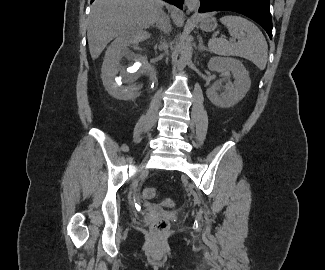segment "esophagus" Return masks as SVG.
Returning <instances> with one entry per match:
<instances>
[{"mask_svg":"<svg viewBox=\"0 0 325 270\" xmlns=\"http://www.w3.org/2000/svg\"><path fill=\"white\" fill-rule=\"evenodd\" d=\"M185 5L189 10H195L198 7L197 0H185Z\"/></svg>","mask_w":325,"mask_h":270,"instance_id":"obj_1","label":"esophagus"}]
</instances>
